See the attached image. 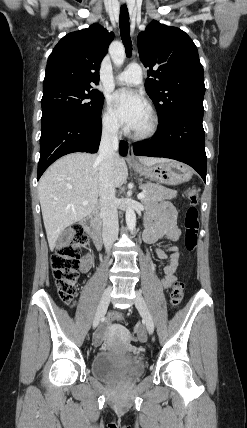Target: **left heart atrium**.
Segmentation results:
<instances>
[{"label": "left heart atrium", "mask_w": 247, "mask_h": 428, "mask_svg": "<svg viewBox=\"0 0 247 428\" xmlns=\"http://www.w3.org/2000/svg\"><path fill=\"white\" fill-rule=\"evenodd\" d=\"M113 101L118 118L129 129L135 130L148 113L146 101L136 92L120 90Z\"/></svg>", "instance_id": "obj_1"}]
</instances>
